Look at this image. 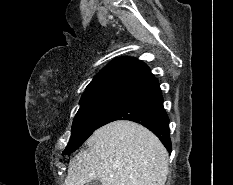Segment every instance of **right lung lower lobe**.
I'll list each match as a JSON object with an SVG mask.
<instances>
[{
    "instance_id": "right-lung-lower-lobe-1",
    "label": "right lung lower lobe",
    "mask_w": 233,
    "mask_h": 185,
    "mask_svg": "<svg viewBox=\"0 0 233 185\" xmlns=\"http://www.w3.org/2000/svg\"><path fill=\"white\" fill-rule=\"evenodd\" d=\"M115 120H130L142 124L171 152L169 118L163 107V97L156 78L130 90L104 117L98 128Z\"/></svg>"
}]
</instances>
